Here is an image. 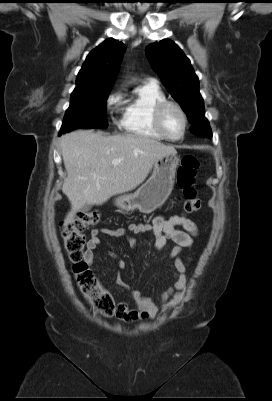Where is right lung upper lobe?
I'll use <instances>...</instances> for the list:
<instances>
[{"label":"right lung upper lobe","mask_w":272,"mask_h":401,"mask_svg":"<svg viewBox=\"0 0 272 401\" xmlns=\"http://www.w3.org/2000/svg\"><path fill=\"white\" fill-rule=\"evenodd\" d=\"M125 45L115 39L105 40L86 57L76 78V87L71 94L111 89L119 69Z\"/></svg>","instance_id":"cb5924a9"}]
</instances>
